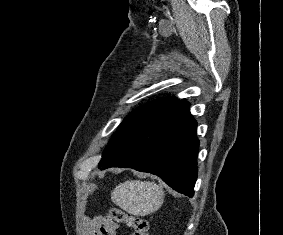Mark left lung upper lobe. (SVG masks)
Here are the masks:
<instances>
[{"label":"left lung upper lobe","mask_w":283,"mask_h":235,"mask_svg":"<svg viewBox=\"0 0 283 235\" xmlns=\"http://www.w3.org/2000/svg\"><path fill=\"white\" fill-rule=\"evenodd\" d=\"M179 101L180 100L173 98H163L154 102H150L132 111L122 121L116 133L109 141V145L104 150L99 165L104 163L115 149H117L130 135L142 127L146 122H148L161 111Z\"/></svg>","instance_id":"left-lung-upper-lobe-1"}]
</instances>
